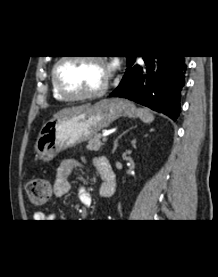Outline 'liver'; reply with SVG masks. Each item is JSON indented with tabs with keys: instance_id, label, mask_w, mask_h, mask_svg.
Here are the masks:
<instances>
[{
	"instance_id": "obj_1",
	"label": "liver",
	"mask_w": 218,
	"mask_h": 277,
	"mask_svg": "<svg viewBox=\"0 0 218 277\" xmlns=\"http://www.w3.org/2000/svg\"><path fill=\"white\" fill-rule=\"evenodd\" d=\"M90 105H81V106H77V107H71V108H65L60 110L59 112H57L53 118L54 119H60L63 117H67V116H71L77 113L82 112L83 110H85L86 108H88Z\"/></svg>"
}]
</instances>
